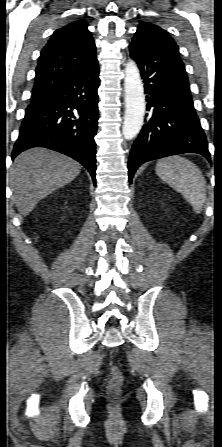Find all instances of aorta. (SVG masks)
Masks as SVG:
<instances>
[{
  "mask_svg": "<svg viewBox=\"0 0 222 447\" xmlns=\"http://www.w3.org/2000/svg\"><path fill=\"white\" fill-rule=\"evenodd\" d=\"M125 115L122 133L131 140L138 135L144 121L145 96L140 73L134 61L129 60L124 79Z\"/></svg>",
  "mask_w": 222,
  "mask_h": 447,
  "instance_id": "aorta-1",
  "label": "aorta"
}]
</instances>
